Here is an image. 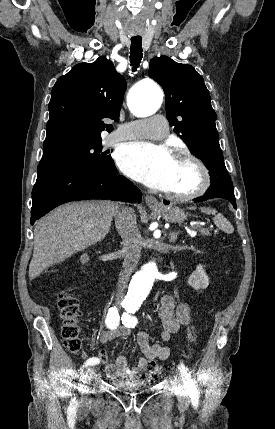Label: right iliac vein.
<instances>
[{"label": "right iliac vein", "instance_id": "63e3f726", "mask_svg": "<svg viewBox=\"0 0 275 429\" xmlns=\"http://www.w3.org/2000/svg\"><path fill=\"white\" fill-rule=\"evenodd\" d=\"M94 374H95V368L92 366L89 367L86 372L87 379H90Z\"/></svg>", "mask_w": 275, "mask_h": 429}]
</instances>
